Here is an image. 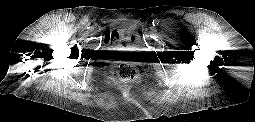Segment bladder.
<instances>
[{
    "label": "bladder",
    "instance_id": "1",
    "mask_svg": "<svg viewBox=\"0 0 255 122\" xmlns=\"http://www.w3.org/2000/svg\"><path fill=\"white\" fill-rule=\"evenodd\" d=\"M137 41L138 33L131 25L114 28L108 35V42L114 45L129 44L135 46Z\"/></svg>",
    "mask_w": 255,
    "mask_h": 122
}]
</instances>
